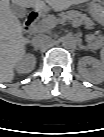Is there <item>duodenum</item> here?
I'll return each mask as SVG.
<instances>
[{
	"instance_id": "410a0bca",
	"label": "duodenum",
	"mask_w": 104,
	"mask_h": 137,
	"mask_svg": "<svg viewBox=\"0 0 104 137\" xmlns=\"http://www.w3.org/2000/svg\"><path fill=\"white\" fill-rule=\"evenodd\" d=\"M36 12H32L30 15H29V17L27 18V20H26V22H25V24H26V26L27 27H32L33 26V24L35 23V21H36Z\"/></svg>"
}]
</instances>
